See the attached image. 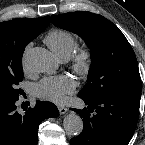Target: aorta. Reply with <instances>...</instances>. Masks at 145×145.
Wrapping results in <instances>:
<instances>
[{"label": "aorta", "instance_id": "obj_1", "mask_svg": "<svg viewBox=\"0 0 145 145\" xmlns=\"http://www.w3.org/2000/svg\"><path fill=\"white\" fill-rule=\"evenodd\" d=\"M25 59L32 69L39 72H51L55 66L51 53L44 48L31 49ZM63 126L68 135L78 136L83 130V121L76 113H70L65 116Z\"/></svg>", "mask_w": 145, "mask_h": 145}]
</instances>
